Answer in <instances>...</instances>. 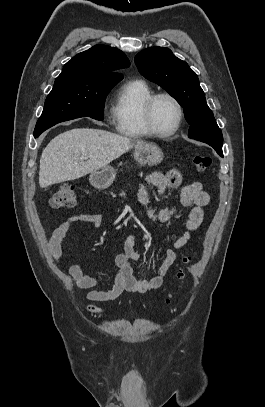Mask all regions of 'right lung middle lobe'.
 Returning a JSON list of instances; mask_svg holds the SVG:
<instances>
[{"mask_svg":"<svg viewBox=\"0 0 265 407\" xmlns=\"http://www.w3.org/2000/svg\"><path fill=\"white\" fill-rule=\"evenodd\" d=\"M116 84L78 82L68 77H57L37 121L34 136H39L57 123L79 117L88 116L103 120L106 95Z\"/></svg>","mask_w":265,"mask_h":407,"instance_id":"dd1d6c3e","label":"right lung middle lobe"}]
</instances>
